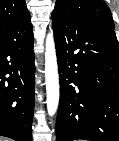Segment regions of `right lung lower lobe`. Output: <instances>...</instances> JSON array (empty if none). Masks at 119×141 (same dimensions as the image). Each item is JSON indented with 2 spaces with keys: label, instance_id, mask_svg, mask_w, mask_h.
Masks as SVG:
<instances>
[{
  "label": "right lung lower lobe",
  "instance_id": "98d812e1",
  "mask_svg": "<svg viewBox=\"0 0 119 141\" xmlns=\"http://www.w3.org/2000/svg\"><path fill=\"white\" fill-rule=\"evenodd\" d=\"M33 44L30 17L0 26V136L16 141H31Z\"/></svg>",
  "mask_w": 119,
  "mask_h": 141
}]
</instances>
